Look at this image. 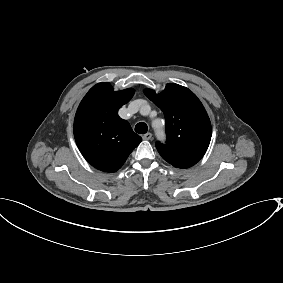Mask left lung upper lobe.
<instances>
[{
  "label": "left lung upper lobe",
  "instance_id": "5c2ea615",
  "mask_svg": "<svg viewBox=\"0 0 283 283\" xmlns=\"http://www.w3.org/2000/svg\"><path fill=\"white\" fill-rule=\"evenodd\" d=\"M145 95L164 113L167 141L156 142L162 158L178 168L195 165L205 154L212 135L208 114L197 96L188 88L169 83L157 94L145 89Z\"/></svg>",
  "mask_w": 283,
  "mask_h": 283
}]
</instances>
